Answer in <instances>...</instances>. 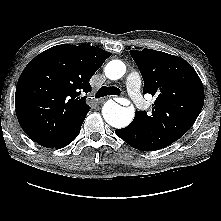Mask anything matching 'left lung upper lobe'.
<instances>
[{
	"label": "left lung upper lobe",
	"mask_w": 221,
	"mask_h": 221,
	"mask_svg": "<svg viewBox=\"0 0 221 221\" xmlns=\"http://www.w3.org/2000/svg\"><path fill=\"white\" fill-rule=\"evenodd\" d=\"M144 80L143 93L156 96L152 114L137 111L130 124L147 151L165 148L181 138L204 104L202 82L183 58L152 49L130 50Z\"/></svg>",
	"instance_id": "obj_1"
}]
</instances>
